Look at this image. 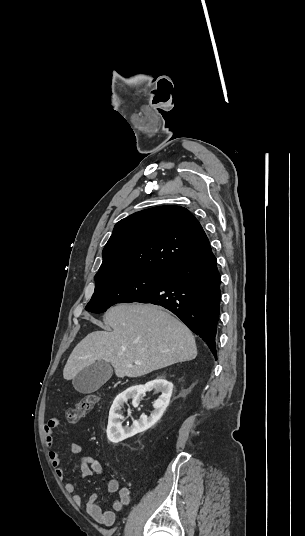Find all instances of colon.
Here are the masks:
<instances>
[{
	"mask_svg": "<svg viewBox=\"0 0 305 536\" xmlns=\"http://www.w3.org/2000/svg\"><path fill=\"white\" fill-rule=\"evenodd\" d=\"M100 401L98 394H87L81 399H78L75 404L67 408L66 420L70 423L77 422L81 417L87 414Z\"/></svg>",
	"mask_w": 305,
	"mask_h": 536,
	"instance_id": "5ec220e1",
	"label": "colon"
}]
</instances>
